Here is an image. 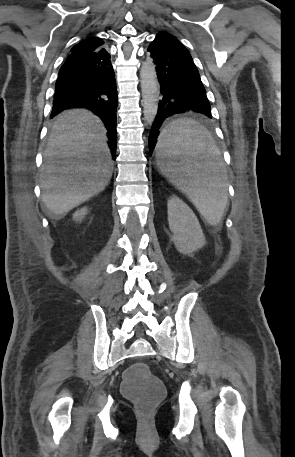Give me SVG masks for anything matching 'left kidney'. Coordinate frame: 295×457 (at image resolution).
Returning a JSON list of instances; mask_svg holds the SVG:
<instances>
[{"instance_id":"5707ae66","label":"left kidney","mask_w":295,"mask_h":457,"mask_svg":"<svg viewBox=\"0 0 295 457\" xmlns=\"http://www.w3.org/2000/svg\"><path fill=\"white\" fill-rule=\"evenodd\" d=\"M168 223L172 240L179 252L190 255L205 245L199 221L193 211L178 197L168 200Z\"/></svg>"}]
</instances>
